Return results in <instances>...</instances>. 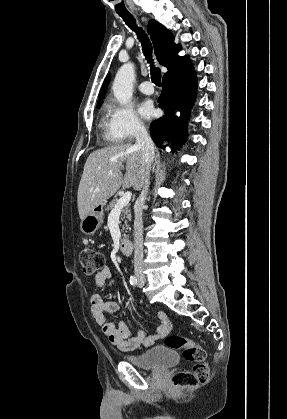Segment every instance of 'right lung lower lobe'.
Masks as SVG:
<instances>
[{
  "label": "right lung lower lobe",
  "instance_id": "obj_1",
  "mask_svg": "<svg viewBox=\"0 0 287 419\" xmlns=\"http://www.w3.org/2000/svg\"><path fill=\"white\" fill-rule=\"evenodd\" d=\"M197 80L193 67L163 77L162 92L158 99L159 107L164 110L163 117L155 120L150 125L151 138L155 144L164 148L163 141L172 143L175 150L183 144L187 133V120L191 107L195 101ZM175 110L181 116L174 115Z\"/></svg>",
  "mask_w": 287,
  "mask_h": 419
}]
</instances>
